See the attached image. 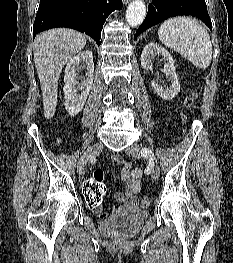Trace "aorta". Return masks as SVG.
<instances>
[{
	"instance_id": "aorta-1",
	"label": "aorta",
	"mask_w": 233,
	"mask_h": 263,
	"mask_svg": "<svg viewBox=\"0 0 233 263\" xmlns=\"http://www.w3.org/2000/svg\"><path fill=\"white\" fill-rule=\"evenodd\" d=\"M146 17V5L141 0H133L126 11V21L131 27L139 26Z\"/></svg>"
}]
</instances>
